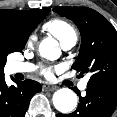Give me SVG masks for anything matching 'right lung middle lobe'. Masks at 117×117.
<instances>
[{"mask_svg": "<svg viewBox=\"0 0 117 117\" xmlns=\"http://www.w3.org/2000/svg\"><path fill=\"white\" fill-rule=\"evenodd\" d=\"M27 40L28 38L20 32L18 27L0 23V66L4 67L9 53L22 51Z\"/></svg>", "mask_w": 117, "mask_h": 117, "instance_id": "right-lung-middle-lobe-1", "label": "right lung middle lobe"}]
</instances>
